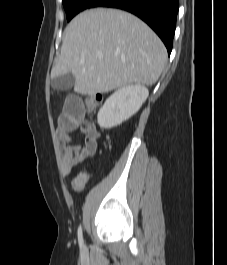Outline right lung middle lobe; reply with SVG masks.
Segmentation results:
<instances>
[{
    "mask_svg": "<svg viewBox=\"0 0 227 265\" xmlns=\"http://www.w3.org/2000/svg\"><path fill=\"white\" fill-rule=\"evenodd\" d=\"M94 0H63L67 20H71L77 13L88 8Z\"/></svg>",
    "mask_w": 227,
    "mask_h": 265,
    "instance_id": "obj_1",
    "label": "right lung middle lobe"
}]
</instances>
